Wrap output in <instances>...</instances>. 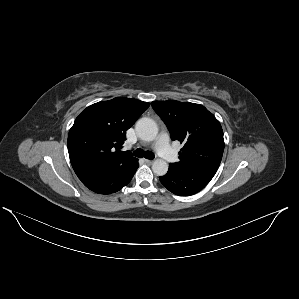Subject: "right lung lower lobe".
I'll use <instances>...</instances> for the list:
<instances>
[{
	"instance_id": "98d812e1",
	"label": "right lung lower lobe",
	"mask_w": 299,
	"mask_h": 299,
	"mask_svg": "<svg viewBox=\"0 0 299 299\" xmlns=\"http://www.w3.org/2000/svg\"><path fill=\"white\" fill-rule=\"evenodd\" d=\"M138 160L126 166L107 169L95 175L80 179L90 190L99 194H110L126 186L138 169Z\"/></svg>"
}]
</instances>
